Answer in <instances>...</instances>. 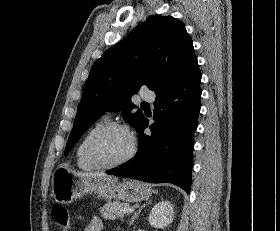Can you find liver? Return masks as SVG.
<instances>
[{"mask_svg": "<svg viewBox=\"0 0 280 231\" xmlns=\"http://www.w3.org/2000/svg\"><path fill=\"white\" fill-rule=\"evenodd\" d=\"M76 175H83V177H91V179H98V181H118L117 177L113 175H104V173H98V171H74Z\"/></svg>", "mask_w": 280, "mask_h": 231, "instance_id": "6515ba94", "label": "liver"}]
</instances>
